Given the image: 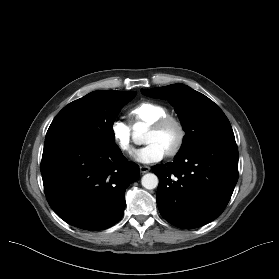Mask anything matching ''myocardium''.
<instances>
[{
	"mask_svg": "<svg viewBox=\"0 0 279 279\" xmlns=\"http://www.w3.org/2000/svg\"><path fill=\"white\" fill-rule=\"evenodd\" d=\"M168 125H173L176 127L178 136L174 145L166 151V155L175 156L180 152L186 140V128L184 126V123L177 117L166 115L151 123L150 129L154 131H160Z\"/></svg>",
	"mask_w": 279,
	"mask_h": 279,
	"instance_id": "myocardium-1",
	"label": "myocardium"
}]
</instances>
